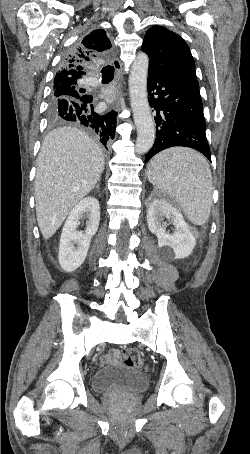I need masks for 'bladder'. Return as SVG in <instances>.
Listing matches in <instances>:
<instances>
[{
	"instance_id": "1",
	"label": "bladder",
	"mask_w": 250,
	"mask_h": 454,
	"mask_svg": "<svg viewBox=\"0 0 250 454\" xmlns=\"http://www.w3.org/2000/svg\"><path fill=\"white\" fill-rule=\"evenodd\" d=\"M149 377L145 371L125 364L107 365L92 374L91 387L94 392L139 393L147 389Z\"/></svg>"
}]
</instances>
